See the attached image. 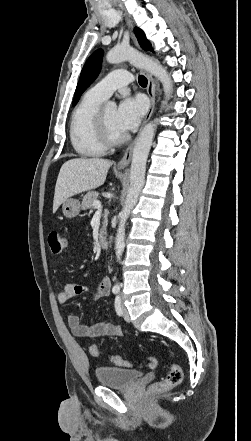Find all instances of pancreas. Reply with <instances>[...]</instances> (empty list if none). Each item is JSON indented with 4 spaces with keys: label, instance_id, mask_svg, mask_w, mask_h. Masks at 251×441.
Returning <instances> with one entry per match:
<instances>
[{
    "label": "pancreas",
    "instance_id": "cf45deb5",
    "mask_svg": "<svg viewBox=\"0 0 251 441\" xmlns=\"http://www.w3.org/2000/svg\"><path fill=\"white\" fill-rule=\"evenodd\" d=\"M99 197V193L96 191H89L88 193H86L83 197L82 200V208L84 210H90V212H92L94 205L93 202L98 200ZM106 214L104 215V221H103V228L101 229V234L105 231V227H106Z\"/></svg>",
    "mask_w": 251,
    "mask_h": 441
}]
</instances>
